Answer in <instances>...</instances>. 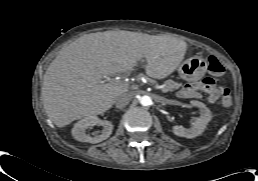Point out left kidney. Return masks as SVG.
Wrapping results in <instances>:
<instances>
[{
	"label": "left kidney",
	"mask_w": 258,
	"mask_h": 181,
	"mask_svg": "<svg viewBox=\"0 0 258 181\" xmlns=\"http://www.w3.org/2000/svg\"><path fill=\"white\" fill-rule=\"evenodd\" d=\"M190 103L200 109L201 116L193 122L192 127L189 129L183 126H174L173 133L179 137L194 138L199 136L205 131L207 124L212 119L211 112L204 103L196 100H192Z\"/></svg>",
	"instance_id": "left-kidney-1"
}]
</instances>
